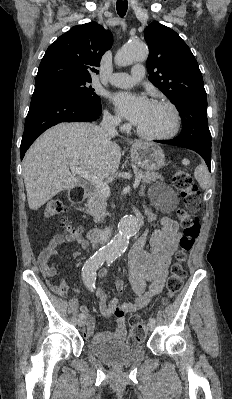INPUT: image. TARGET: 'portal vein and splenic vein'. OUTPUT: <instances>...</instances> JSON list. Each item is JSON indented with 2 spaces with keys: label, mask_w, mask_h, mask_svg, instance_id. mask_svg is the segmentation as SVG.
I'll return each mask as SVG.
<instances>
[{
  "label": "portal vein and splenic vein",
  "mask_w": 232,
  "mask_h": 399,
  "mask_svg": "<svg viewBox=\"0 0 232 399\" xmlns=\"http://www.w3.org/2000/svg\"><path fill=\"white\" fill-rule=\"evenodd\" d=\"M71 172L72 174H78V176H81V178H84V180H88V182H90V184H92L94 188H97V190H100V192H103V194H106V196H110V188L108 184H105L103 180H99L97 176H93L91 172H87V170H82V168H76V166L75 168L74 166H72ZM141 178L142 174H138V176H136L133 188H137Z\"/></svg>",
  "instance_id": "obj_1"
}]
</instances>
